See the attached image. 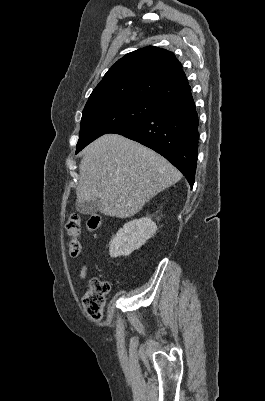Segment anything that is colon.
<instances>
[{"instance_id": "5ec220e1", "label": "colon", "mask_w": 265, "mask_h": 401, "mask_svg": "<svg viewBox=\"0 0 265 401\" xmlns=\"http://www.w3.org/2000/svg\"><path fill=\"white\" fill-rule=\"evenodd\" d=\"M101 225V216L91 214L87 220V228L91 231L97 230ZM66 231L70 236L69 253L72 257H77L81 251L79 235L81 233V219L76 213L69 216L66 222ZM110 291V284L107 281L93 278L89 282V287L83 296V306L87 317L98 322L102 318L106 296Z\"/></svg>"}]
</instances>
